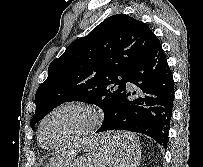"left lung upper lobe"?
<instances>
[{
    "label": "left lung upper lobe",
    "instance_id": "1",
    "mask_svg": "<svg viewBox=\"0 0 203 167\" xmlns=\"http://www.w3.org/2000/svg\"><path fill=\"white\" fill-rule=\"evenodd\" d=\"M156 40L143 22L116 14L70 44L50 63L48 77L37 89L32 129L53 108L68 101L99 106L103 125L126 89L129 71Z\"/></svg>",
    "mask_w": 203,
    "mask_h": 167
}]
</instances>
